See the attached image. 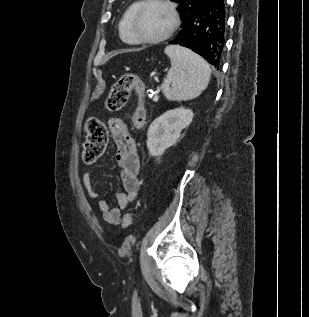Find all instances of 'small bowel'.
<instances>
[{"mask_svg": "<svg viewBox=\"0 0 309 317\" xmlns=\"http://www.w3.org/2000/svg\"><path fill=\"white\" fill-rule=\"evenodd\" d=\"M108 125L116 149L115 158L120 167L123 191L116 194L117 206H111L106 200L101 199L99 208L104 221L116 225L122 222V210L129 208L139 194L140 160L136 142L125 121L113 117L109 119ZM83 184L91 198L98 199L100 197V191L94 184L91 173L84 174Z\"/></svg>", "mask_w": 309, "mask_h": 317, "instance_id": "c3829d8e", "label": "small bowel"}]
</instances>
